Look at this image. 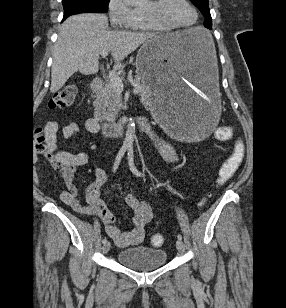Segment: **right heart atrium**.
<instances>
[{
    "instance_id": "d8ad5b80",
    "label": "right heart atrium",
    "mask_w": 286,
    "mask_h": 308,
    "mask_svg": "<svg viewBox=\"0 0 286 308\" xmlns=\"http://www.w3.org/2000/svg\"><path fill=\"white\" fill-rule=\"evenodd\" d=\"M107 13L115 28L131 29L137 22L138 11L127 0H108Z\"/></svg>"
}]
</instances>
